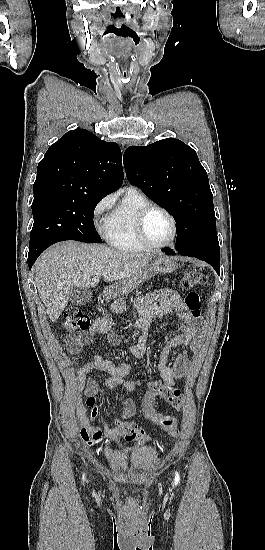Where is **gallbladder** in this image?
<instances>
[{
    "mask_svg": "<svg viewBox=\"0 0 265 550\" xmlns=\"http://www.w3.org/2000/svg\"><path fill=\"white\" fill-rule=\"evenodd\" d=\"M92 299V291L89 288H76L69 294V300L75 305H86Z\"/></svg>",
    "mask_w": 265,
    "mask_h": 550,
    "instance_id": "gallbladder-1",
    "label": "gallbladder"
}]
</instances>
